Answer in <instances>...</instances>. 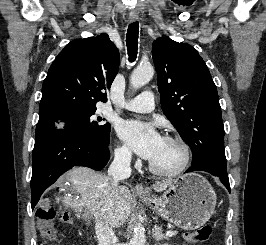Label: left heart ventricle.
<instances>
[{"mask_svg": "<svg viewBox=\"0 0 266 245\" xmlns=\"http://www.w3.org/2000/svg\"><path fill=\"white\" fill-rule=\"evenodd\" d=\"M182 160L181 146L176 142L164 139L151 163L160 171L171 172L180 167Z\"/></svg>", "mask_w": 266, "mask_h": 245, "instance_id": "1", "label": "left heart ventricle"}]
</instances>
